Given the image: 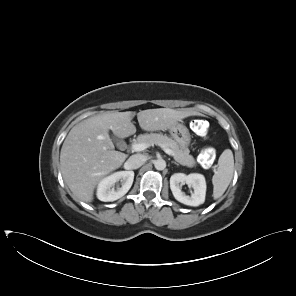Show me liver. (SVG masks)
<instances>
[{
	"label": "liver",
	"instance_id": "obj_1",
	"mask_svg": "<svg viewBox=\"0 0 296 296\" xmlns=\"http://www.w3.org/2000/svg\"><path fill=\"white\" fill-rule=\"evenodd\" d=\"M135 112H106L75 125L63 142L60 168L63 179L76 200H93L96 185L110 172L122 166L127 155L114 150L109 130L119 138L136 132L131 122ZM199 115L188 109H147L137 113L145 131L167 130L188 116Z\"/></svg>",
	"mask_w": 296,
	"mask_h": 296
}]
</instances>
